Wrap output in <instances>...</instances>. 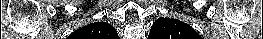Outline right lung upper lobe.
I'll list each match as a JSON object with an SVG mask.
<instances>
[{"label":"right lung upper lobe","instance_id":"cb5924a9","mask_svg":"<svg viewBox=\"0 0 263 39\" xmlns=\"http://www.w3.org/2000/svg\"><path fill=\"white\" fill-rule=\"evenodd\" d=\"M82 39H118L116 30L106 22L91 23L74 32Z\"/></svg>","mask_w":263,"mask_h":39}]
</instances>
